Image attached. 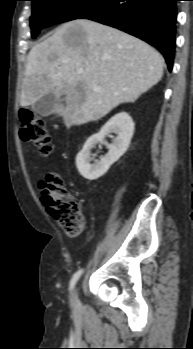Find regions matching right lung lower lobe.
<instances>
[{
	"mask_svg": "<svg viewBox=\"0 0 193 349\" xmlns=\"http://www.w3.org/2000/svg\"><path fill=\"white\" fill-rule=\"evenodd\" d=\"M176 1L179 0H100L78 19H89L134 35L155 46L172 70Z\"/></svg>",
	"mask_w": 193,
	"mask_h": 349,
	"instance_id": "obj_1",
	"label": "right lung lower lobe"
}]
</instances>
